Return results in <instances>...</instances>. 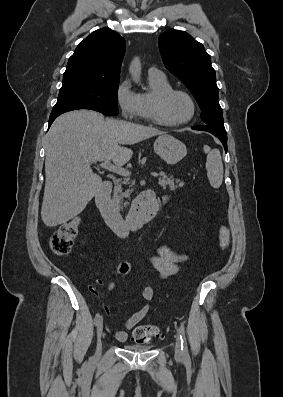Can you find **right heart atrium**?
<instances>
[{
	"mask_svg": "<svg viewBox=\"0 0 283 397\" xmlns=\"http://www.w3.org/2000/svg\"><path fill=\"white\" fill-rule=\"evenodd\" d=\"M116 102L124 118L134 120L142 117L139 94L132 89L128 79L122 80L117 86Z\"/></svg>",
	"mask_w": 283,
	"mask_h": 397,
	"instance_id": "1",
	"label": "right heart atrium"
}]
</instances>
